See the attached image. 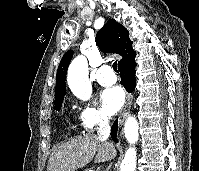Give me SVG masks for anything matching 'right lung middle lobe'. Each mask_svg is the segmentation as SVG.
<instances>
[{
    "label": "right lung middle lobe",
    "mask_w": 199,
    "mask_h": 171,
    "mask_svg": "<svg viewBox=\"0 0 199 171\" xmlns=\"http://www.w3.org/2000/svg\"><path fill=\"white\" fill-rule=\"evenodd\" d=\"M63 99L55 101V109L59 110L62 106Z\"/></svg>",
    "instance_id": "obj_1"
}]
</instances>
